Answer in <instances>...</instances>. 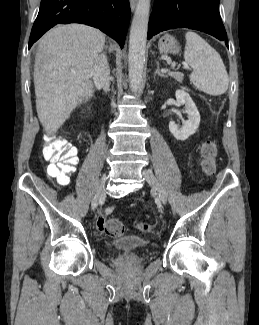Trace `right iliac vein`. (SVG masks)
<instances>
[{
  "label": "right iliac vein",
  "mask_w": 259,
  "mask_h": 325,
  "mask_svg": "<svg viewBox=\"0 0 259 325\" xmlns=\"http://www.w3.org/2000/svg\"><path fill=\"white\" fill-rule=\"evenodd\" d=\"M105 181H106V175H103L98 183L96 193L92 199L91 207L93 210L97 208L101 197L104 195Z\"/></svg>",
  "instance_id": "63e3f726"
}]
</instances>
